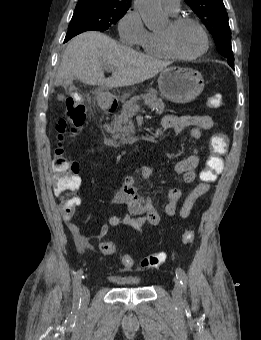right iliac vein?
Listing matches in <instances>:
<instances>
[{"mask_svg": "<svg viewBox=\"0 0 261 340\" xmlns=\"http://www.w3.org/2000/svg\"><path fill=\"white\" fill-rule=\"evenodd\" d=\"M89 296H90V293H89L88 288L83 287L82 292H81V297H82L83 302H87L89 300Z\"/></svg>", "mask_w": 261, "mask_h": 340, "instance_id": "1", "label": "right iliac vein"}]
</instances>
